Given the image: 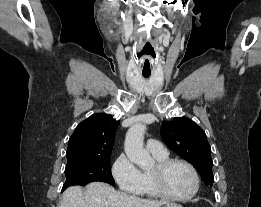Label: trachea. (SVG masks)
<instances>
[{"mask_svg": "<svg viewBox=\"0 0 261 207\" xmlns=\"http://www.w3.org/2000/svg\"><path fill=\"white\" fill-rule=\"evenodd\" d=\"M150 76V74H143L144 78H148Z\"/></svg>", "mask_w": 261, "mask_h": 207, "instance_id": "3493384b", "label": "trachea"}]
</instances>
